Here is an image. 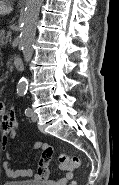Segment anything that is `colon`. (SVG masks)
Masks as SVG:
<instances>
[{
	"mask_svg": "<svg viewBox=\"0 0 119 185\" xmlns=\"http://www.w3.org/2000/svg\"><path fill=\"white\" fill-rule=\"evenodd\" d=\"M59 162L61 165L68 166L74 169L78 168L80 165V160L77 157H70L65 154H61L59 156ZM69 185H77V182L72 181Z\"/></svg>",
	"mask_w": 119,
	"mask_h": 185,
	"instance_id": "obj_1",
	"label": "colon"
}]
</instances>
